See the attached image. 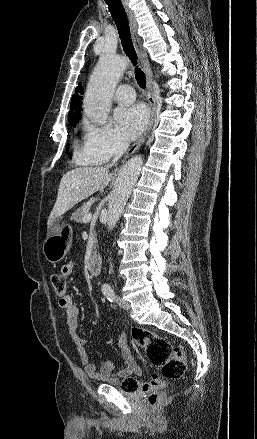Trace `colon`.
Wrapping results in <instances>:
<instances>
[{"label":"colon","mask_w":257,"mask_h":439,"mask_svg":"<svg viewBox=\"0 0 257 439\" xmlns=\"http://www.w3.org/2000/svg\"><path fill=\"white\" fill-rule=\"evenodd\" d=\"M50 282L54 293L65 297L67 282L63 275L53 274ZM132 339L144 349L150 363L159 369L147 382L141 383L135 378H125L120 383V389L127 393H148L147 401L156 405L164 399L162 388L164 379H178L186 372V357L181 348L174 347L167 339L155 333L134 328L131 332Z\"/></svg>","instance_id":"obj_1"}]
</instances>
